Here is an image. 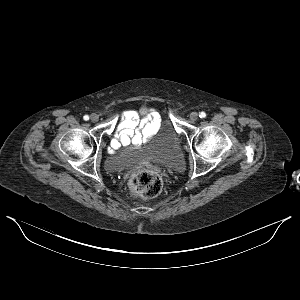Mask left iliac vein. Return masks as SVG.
I'll return each mask as SVG.
<instances>
[{
  "label": "left iliac vein",
  "instance_id": "1",
  "mask_svg": "<svg viewBox=\"0 0 300 300\" xmlns=\"http://www.w3.org/2000/svg\"><path fill=\"white\" fill-rule=\"evenodd\" d=\"M198 118H199V115H198L197 112H192V113L190 114V120H191V121H197Z\"/></svg>",
  "mask_w": 300,
  "mask_h": 300
}]
</instances>
